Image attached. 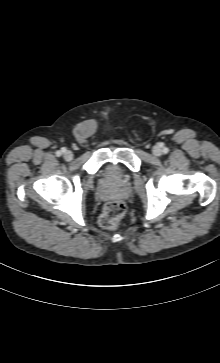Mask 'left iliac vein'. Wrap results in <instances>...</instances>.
Listing matches in <instances>:
<instances>
[{"label":"left iliac vein","instance_id":"1","mask_svg":"<svg viewBox=\"0 0 220 363\" xmlns=\"http://www.w3.org/2000/svg\"><path fill=\"white\" fill-rule=\"evenodd\" d=\"M153 154L155 156H160L162 154V148L159 145L153 147Z\"/></svg>","mask_w":220,"mask_h":363}]
</instances>
